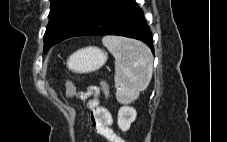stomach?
I'll return each mask as SVG.
<instances>
[{
  "instance_id": "obj_1",
  "label": "stomach",
  "mask_w": 227,
  "mask_h": 142,
  "mask_svg": "<svg viewBox=\"0 0 227 142\" xmlns=\"http://www.w3.org/2000/svg\"><path fill=\"white\" fill-rule=\"evenodd\" d=\"M106 60V53L90 46L74 52L67 60V67L76 73H89L101 68Z\"/></svg>"
}]
</instances>
